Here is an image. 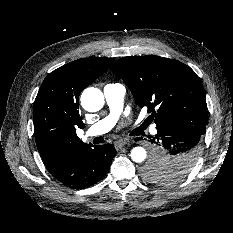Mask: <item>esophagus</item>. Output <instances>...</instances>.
Wrapping results in <instances>:
<instances>
[{
  "label": "esophagus",
  "mask_w": 233,
  "mask_h": 233,
  "mask_svg": "<svg viewBox=\"0 0 233 233\" xmlns=\"http://www.w3.org/2000/svg\"><path fill=\"white\" fill-rule=\"evenodd\" d=\"M128 140L127 139H120L114 143L115 148L117 150L121 149L125 144H127Z\"/></svg>",
  "instance_id": "obj_1"
}]
</instances>
